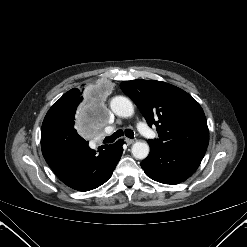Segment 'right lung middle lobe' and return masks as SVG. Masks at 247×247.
<instances>
[{"label":"right lung middle lobe","mask_w":247,"mask_h":247,"mask_svg":"<svg viewBox=\"0 0 247 247\" xmlns=\"http://www.w3.org/2000/svg\"><path fill=\"white\" fill-rule=\"evenodd\" d=\"M76 108L77 99H60L50 108L45 119H55L74 125Z\"/></svg>","instance_id":"right-lung-middle-lobe-1"}]
</instances>
